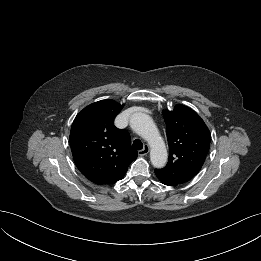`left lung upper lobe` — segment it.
Returning <instances> with one entry per match:
<instances>
[{
  "instance_id": "5c2ea615",
  "label": "left lung upper lobe",
  "mask_w": 261,
  "mask_h": 261,
  "mask_svg": "<svg viewBox=\"0 0 261 261\" xmlns=\"http://www.w3.org/2000/svg\"><path fill=\"white\" fill-rule=\"evenodd\" d=\"M169 143V161L156 175L179 184L191 180L201 169L209 151L211 134L204 121L185 105L164 110Z\"/></svg>"
}]
</instances>
